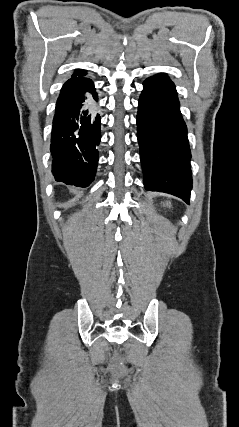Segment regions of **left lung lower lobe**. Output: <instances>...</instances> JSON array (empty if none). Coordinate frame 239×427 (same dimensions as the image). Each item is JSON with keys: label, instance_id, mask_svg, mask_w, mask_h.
<instances>
[{"label": "left lung lower lobe", "instance_id": "left-lung-lower-lobe-1", "mask_svg": "<svg viewBox=\"0 0 239 427\" xmlns=\"http://www.w3.org/2000/svg\"><path fill=\"white\" fill-rule=\"evenodd\" d=\"M137 138L145 189L166 192L189 203L192 175L187 127L175 85L165 73L143 83Z\"/></svg>", "mask_w": 239, "mask_h": 427}]
</instances>
